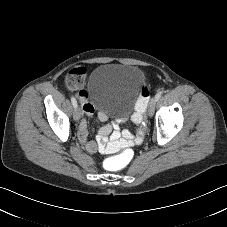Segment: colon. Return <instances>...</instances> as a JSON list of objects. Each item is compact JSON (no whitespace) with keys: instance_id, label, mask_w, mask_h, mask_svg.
I'll return each mask as SVG.
<instances>
[{"instance_id":"5ec220e1","label":"colon","mask_w":227,"mask_h":227,"mask_svg":"<svg viewBox=\"0 0 227 227\" xmlns=\"http://www.w3.org/2000/svg\"><path fill=\"white\" fill-rule=\"evenodd\" d=\"M65 83L72 87L76 88L80 84V76L78 74L70 75L65 79ZM148 87L144 86L141 89L140 98L135 106L136 113L134 115V121L136 123H141L143 121V109H146L148 102ZM112 162L117 167H123L129 162L128 153L126 151H121L119 154L112 158Z\"/></svg>"}]
</instances>
